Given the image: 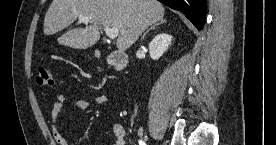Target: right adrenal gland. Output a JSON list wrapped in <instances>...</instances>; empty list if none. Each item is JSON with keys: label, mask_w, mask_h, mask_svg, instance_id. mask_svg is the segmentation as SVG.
Here are the masks:
<instances>
[{"label": "right adrenal gland", "mask_w": 276, "mask_h": 145, "mask_svg": "<svg viewBox=\"0 0 276 145\" xmlns=\"http://www.w3.org/2000/svg\"><path fill=\"white\" fill-rule=\"evenodd\" d=\"M163 23H166V20H161L160 23H157V24L151 26V27L143 34L142 39H144L145 35H146L149 31L155 29L156 27H158L159 25H162Z\"/></svg>", "instance_id": "right-adrenal-gland-1"}]
</instances>
